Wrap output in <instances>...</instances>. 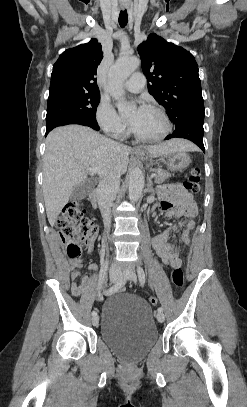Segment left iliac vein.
Instances as JSON below:
<instances>
[{
	"mask_svg": "<svg viewBox=\"0 0 247 407\" xmlns=\"http://www.w3.org/2000/svg\"><path fill=\"white\" fill-rule=\"evenodd\" d=\"M123 276H124V278H126L130 281H133V282H135L137 279L135 271L131 268L128 271H126L123 274ZM156 318H157L158 322H160V323L164 322V320H165L164 314L160 313V312H158V314L156 315Z\"/></svg>",
	"mask_w": 247,
	"mask_h": 407,
	"instance_id": "1",
	"label": "left iliac vein"
}]
</instances>
